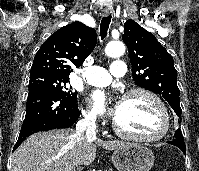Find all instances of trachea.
Masks as SVG:
<instances>
[{
	"label": "trachea",
	"mask_w": 199,
	"mask_h": 171,
	"mask_svg": "<svg viewBox=\"0 0 199 171\" xmlns=\"http://www.w3.org/2000/svg\"><path fill=\"white\" fill-rule=\"evenodd\" d=\"M110 23H111V15L102 18L100 24L101 39H104L106 37Z\"/></svg>",
	"instance_id": "3493384b"
}]
</instances>
